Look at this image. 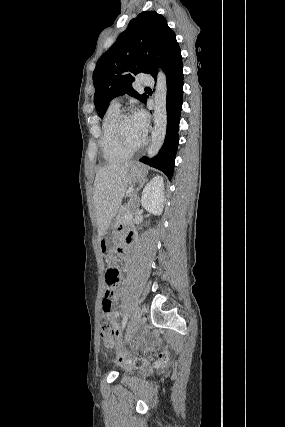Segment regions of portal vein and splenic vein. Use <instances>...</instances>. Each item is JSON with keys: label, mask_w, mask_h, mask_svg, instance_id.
Returning <instances> with one entry per match:
<instances>
[{"label": "portal vein and splenic vein", "mask_w": 285, "mask_h": 427, "mask_svg": "<svg viewBox=\"0 0 285 427\" xmlns=\"http://www.w3.org/2000/svg\"><path fill=\"white\" fill-rule=\"evenodd\" d=\"M131 217V215L130 214H128V215H126L125 216V218L127 219V218H130Z\"/></svg>", "instance_id": "obj_1"}]
</instances>
